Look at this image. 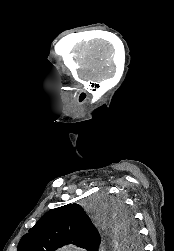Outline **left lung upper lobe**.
<instances>
[{
	"mask_svg": "<svg viewBox=\"0 0 174 251\" xmlns=\"http://www.w3.org/2000/svg\"><path fill=\"white\" fill-rule=\"evenodd\" d=\"M105 215L114 225L119 238L140 249L138 231L130 212L120 201H107ZM100 234L78 204H68L50 210L25 234L18 251H55L74 244L87 251H98Z\"/></svg>",
	"mask_w": 174,
	"mask_h": 251,
	"instance_id": "5c2ea615",
	"label": "left lung upper lobe"
}]
</instances>
